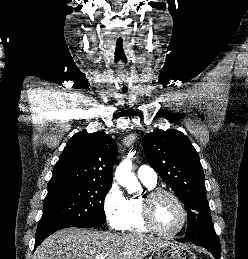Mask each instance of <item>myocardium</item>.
<instances>
[{
	"mask_svg": "<svg viewBox=\"0 0 248 259\" xmlns=\"http://www.w3.org/2000/svg\"><path fill=\"white\" fill-rule=\"evenodd\" d=\"M161 196H168L172 198L177 205L179 206L182 214V219L179 227L171 232H166L161 230L154 219V204L158 198ZM142 215L144 222L146 226L149 228L150 231L163 236V237H174L178 235L185 227L188 219V213L187 209L180 199V197L175 194L174 192L167 190V189H162V188H154L151 190H148L147 193L142 197Z\"/></svg>",
	"mask_w": 248,
	"mask_h": 259,
	"instance_id": "1",
	"label": "myocardium"
}]
</instances>
